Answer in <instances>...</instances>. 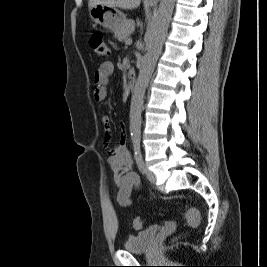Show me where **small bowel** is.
<instances>
[{"instance_id": "1", "label": "small bowel", "mask_w": 267, "mask_h": 267, "mask_svg": "<svg viewBox=\"0 0 267 267\" xmlns=\"http://www.w3.org/2000/svg\"><path fill=\"white\" fill-rule=\"evenodd\" d=\"M114 72L112 62H103L94 73L93 97L95 101L102 102L107 95V84L109 77ZM102 124L105 129V140L111 138V119L107 114L101 117ZM120 139L119 143L108 149V162L114 173V182L118 187L117 201L121 206L127 207L131 205V194L134 189L140 187L141 180L139 175L132 170V159L126 148V132L125 124L120 123Z\"/></svg>"}]
</instances>
